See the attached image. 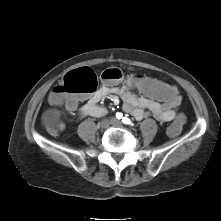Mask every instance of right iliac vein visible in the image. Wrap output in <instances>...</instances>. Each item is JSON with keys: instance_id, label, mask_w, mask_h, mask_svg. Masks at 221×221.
<instances>
[{"instance_id": "1", "label": "right iliac vein", "mask_w": 221, "mask_h": 221, "mask_svg": "<svg viewBox=\"0 0 221 221\" xmlns=\"http://www.w3.org/2000/svg\"><path fill=\"white\" fill-rule=\"evenodd\" d=\"M110 124H111V121H109V120H102L99 123V127L102 128V129H105V128H108Z\"/></svg>"}]
</instances>
